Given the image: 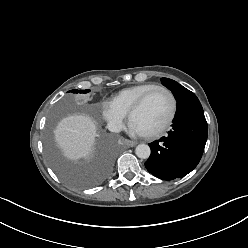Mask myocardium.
Returning a JSON list of instances; mask_svg holds the SVG:
<instances>
[{
  "label": "myocardium",
  "mask_w": 248,
  "mask_h": 248,
  "mask_svg": "<svg viewBox=\"0 0 248 248\" xmlns=\"http://www.w3.org/2000/svg\"><path fill=\"white\" fill-rule=\"evenodd\" d=\"M157 91H163L165 92L171 101V112L170 115L167 119V121L156 131L152 132V133H148V134H142L144 137L148 138V139H156L161 137L162 135H164L172 126L176 114H177V100L174 96V94L172 93L171 90H169L168 88L164 87V86H157L149 91H147L146 93H144L137 101L136 103L131 107L130 111L128 112V119L129 122L131 123V120L134 116V114L139 111L144 104L147 102V100Z\"/></svg>",
  "instance_id": "obj_1"
}]
</instances>
